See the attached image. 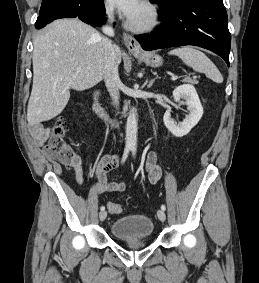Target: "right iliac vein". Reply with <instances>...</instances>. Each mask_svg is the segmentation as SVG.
Masks as SVG:
<instances>
[{
	"label": "right iliac vein",
	"instance_id": "1",
	"mask_svg": "<svg viewBox=\"0 0 259 283\" xmlns=\"http://www.w3.org/2000/svg\"><path fill=\"white\" fill-rule=\"evenodd\" d=\"M106 217H107V212L105 210H103L99 213L100 221H104L106 219Z\"/></svg>",
	"mask_w": 259,
	"mask_h": 283
}]
</instances>
